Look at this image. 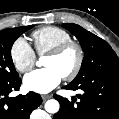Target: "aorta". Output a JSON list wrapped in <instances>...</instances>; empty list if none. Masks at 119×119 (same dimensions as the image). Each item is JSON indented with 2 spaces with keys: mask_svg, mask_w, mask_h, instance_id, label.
Instances as JSON below:
<instances>
[{
  "mask_svg": "<svg viewBox=\"0 0 119 119\" xmlns=\"http://www.w3.org/2000/svg\"><path fill=\"white\" fill-rule=\"evenodd\" d=\"M37 65H40V62L37 63ZM59 102L55 99L48 100L45 103V110L48 113H57L59 110Z\"/></svg>",
  "mask_w": 119,
  "mask_h": 119,
  "instance_id": "aorta-1",
  "label": "aorta"
}]
</instances>
